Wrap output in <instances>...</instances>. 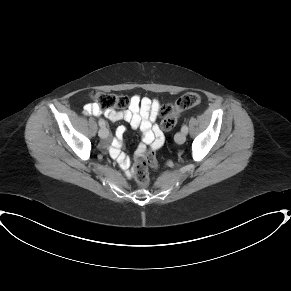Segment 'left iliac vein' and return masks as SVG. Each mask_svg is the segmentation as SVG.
Returning a JSON list of instances; mask_svg holds the SVG:
<instances>
[{
  "instance_id": "left-iliac-vein-1",
  "label": "left iliac vein",
  "mask_w": 291,
  "mask_h": 291,
  "mask_svg": "<svg viewBox=\"0 0 291 291\" xmlns=\"http://www.w3.org/2000/svg\"><path fill=\"white\" fill-rule=\"evenodd\" d=\"M185 139H186V134L184 132H179L175 135V141L178 143V144H182L185 142Z\"/></svg>"
}]
</instances>
